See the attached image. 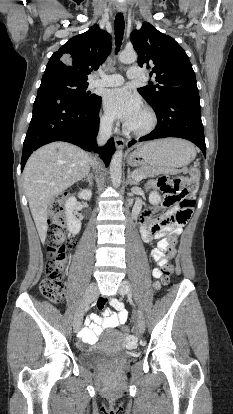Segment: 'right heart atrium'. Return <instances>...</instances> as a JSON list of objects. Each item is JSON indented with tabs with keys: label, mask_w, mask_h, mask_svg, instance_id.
<instances>
[{
	"label": "right heart atrium",
	"mask_w": 233,
	"mask_h": 414,
	"mask_svg": "<svg viewBox=\"0 0 233 414\" xmlns=\"http://www.w3.org/2000/svg\"><path fill=\"white\" fill-rule=\"evenodd\" d=\"M99 124H100L101 129H102L103 131H106V132L110 131V130H111V128H112V120H111V118H110L107 114H105V113H101V114L99 115Z\"/></svg>",
	"instance_id": "obj_1"
}]
</instances>
